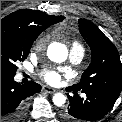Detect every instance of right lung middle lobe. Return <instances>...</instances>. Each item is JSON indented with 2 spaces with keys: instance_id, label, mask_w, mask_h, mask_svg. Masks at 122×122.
<instances>
[{
  "instance_id": "right-lung-middle-lobe-1",
  "label": "right lung middle lobe",
  "mask_w": 122,
  "mask_h": 122,
  "mask_svg": "<svg viewBox=\"0 0 122 122\" xmlns=\"http://www.w3.org/2000/svg\"><path fill=\"white\" fill-rule=\"evenodd\" d=\"M34 41L15 34L1 33V73L15 76L16 62L27 58Z\"/></svg>"
}]
</instances>
